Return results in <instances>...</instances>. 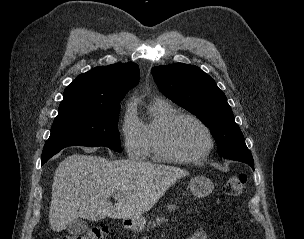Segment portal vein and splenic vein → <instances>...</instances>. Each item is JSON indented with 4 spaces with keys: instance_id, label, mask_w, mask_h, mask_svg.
I'll return each mask as SVG.
<instances>
[{
    "instance_id": "obj_1",
    "label": "portal vein and splenic vein",
    "mask_w": 304,
    "mask_h": 239,
    "mask_svg": "<svg viewBox=\"0 0 304 239\" xmlns=\"http://www.w3.org/2000/svg\"><path fill=\"white\" fill-rule=\"evenodd\" d=\"M113 198H114V199H120V198H121V195H120V194H114V195H113Z\"/></svg>"
}]
</instances>
